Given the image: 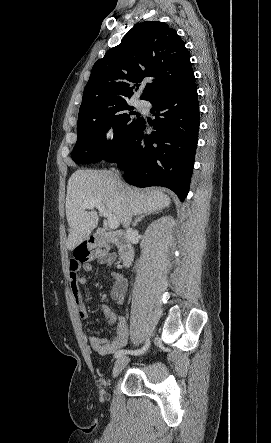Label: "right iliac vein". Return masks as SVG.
Segmentation results:
<instances>
[{"label":"right iliac vein","mask_w":271,"mask_h":443,"mask_svg":"<svg viewBox=\"0 0 271 443\" xmlns=\"http://www.w3.org/2000/svg\"><path fill=\"white\" fill-rule=\"evenodd\" d=\"M129 361L130 359L126 356H121L116 360L112 371L113 378L117 377L122 372Z\"/></svg>","instance_id":"63e3f726"}]
</instances>
